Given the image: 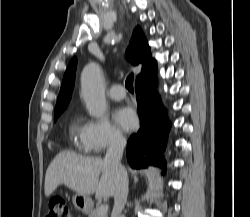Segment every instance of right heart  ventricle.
<instances>
[{
    "mask_svg": "<svg viewBox=\"0 0 250 217\" xmlns=\"http://www.w3.org/2000/svg\"><path fill=\"white\" fill-rule=\"evenodd\" d=\"M69 131L75 147L81 151H86L87 148L83 139L84 124H82L79 119L75 118L70 123Z\"/></svg>",
    "mask_w": 250,
    "mask_h": 217,
    "instance_id": "e07e8e85",
    "label": "right heart ventricle"
}]
</instances>
